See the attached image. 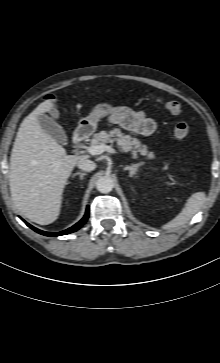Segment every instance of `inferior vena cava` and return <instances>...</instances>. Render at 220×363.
Returning a JSON list of instances; mask_svg holds the SVG:
<instances>
[{
    "label": "inferior vena cava",
    "mask_w": 220,
    "mask_h": 363,
    "mask_svg": "<svg viewBox=\"0 0 220 363\" xmlns=\"http://www.w3.org/2000/svg\"><path fill=\"white\" fill-rule=\"evenodd\" d=\"M78 167L83 170V171H92L96 168V163L89 160V159H85V158H82L78 161Z\"/></svg>",
    "instance_id": "obj_1"
}]
</instances>
